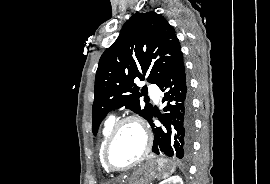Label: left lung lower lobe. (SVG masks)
Returning <instances> with one entry per match:
<instances>
[{"instance_id": "obj_1", "label": "left lung lower lobe", "mask_w": 270, "mask_h": 184, "mask_svg": "<svg viewBox=\"0 0 270 184\" xmlns=\"http://www.w3.org/2000/svg\"><path fill=\"white\" fill-rule=\"evenodd\" d=\"M157 85L164 92L162 102L166 103L164 111L167 113L160 116H156L154 112L152 114V117H158L163 123V128L156 127L152 117L149 121L154 133L152 152L175 160L186 161L192 153L194 119L181 51Z\"/></svg>"}]
</instances>
